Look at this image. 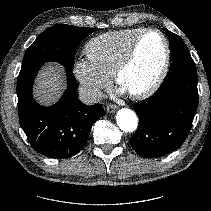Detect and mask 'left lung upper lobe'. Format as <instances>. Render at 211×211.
Returning <instances> with one entry per match:
<instances>
[{
	"instance_id": "1",
	"label": "left lung upper lobe",
	"mask_w": 211,
	"mask_h": 211,
	"mask_svg": "<svg viewBox=\"0 0 211 211\" xmlns=\"http://www.w3.org/2000/svg\"><path fill=\"white\" fill-rule=\"evenodd\" d=\"M165 31H166L168 37L171 36V35H174L179 40V43L177 45H175L174 47L170 46V60L171 61L176 59L180 55L190 54L188 48L186 47V45L184 44V42L182 41V39L178 35L170 32L167 29Z\"/></svg>"
}]
</instances>
